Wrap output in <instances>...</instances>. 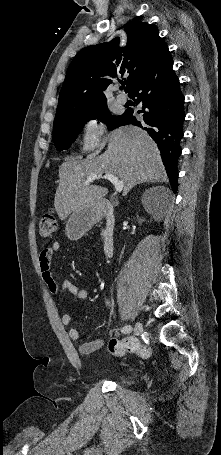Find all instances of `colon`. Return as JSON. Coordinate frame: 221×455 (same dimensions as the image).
Segmentation results:
<instances>
[{
	"label": "colon",
	"mask_w": 221,
	"mask_h": 455,
	"mask_svg": "<svg viewBox=\"0 0 221 455\" xmlns=\"http://www.w3.org/2000/svg\"><path fill=\"white\" fill-rule=\"evenodd\" d=\"M57 216L54 211L46 212L38 224L39 234L44 238H51L57 232ZM109 351L112 355L121 357L127 353H136L142 358L150 356V349L133 337L125 339L113 338L109 342Z\"/></svg>",
	"instance_id": "obj_1"
}]
</instances>
